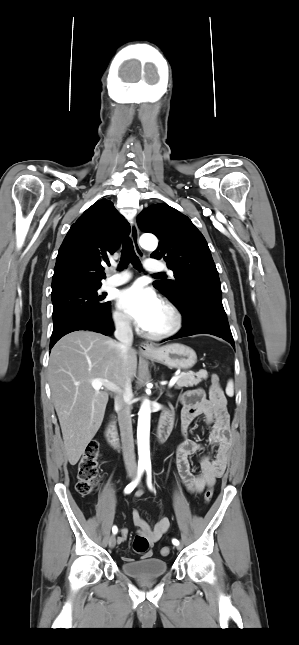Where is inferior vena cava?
Masks as SVG:
<instances>
[{"label":"inferior vena cava","mask_w":299,"mask_h":645,"mask_svg":"<svg viewBox=\"0 0 299 645\" xmlns=\"http://www.w3.org/2000/svg\"><path fill=\"white\" fill-rule=\"evenodd\" d=\"M115 326L116 331L114 335L118 340L117 349L120 352L124 366H126L127 353L133 342V332L130 320L127 317H119L115 320ZM123 388V395H118L115 398V406L118 409V422L122 441L123 459L127 471L136 472L137 465L134 451L131 409L128 403L131 395V381L128 376L126 377Z\"/></svg>","instance_id":"1"}]
</instances>
